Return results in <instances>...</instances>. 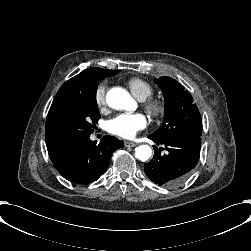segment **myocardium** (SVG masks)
Listing matches in <instances>:
<instances>
[{
  "label": "myocardium",
  "mask_w": 251,
  "mask_h": 251,
  "mask_svg": "<svg viewBox=\"0 0 251 251\" xmlns=\"http://www.w3.org/2000/svg\"><path fill=\"white\" fill-rule=\"evenodd\" d=\"M143 107L153 116L162 115L165 112V103L161 99L148 97L141 99Z\"/></svg>",
  "instance_id": "obj_1"
}]
</instances>
